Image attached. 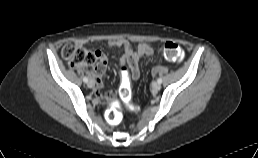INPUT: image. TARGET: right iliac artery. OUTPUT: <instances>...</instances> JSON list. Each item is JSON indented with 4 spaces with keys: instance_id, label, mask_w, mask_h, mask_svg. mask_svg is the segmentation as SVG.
Segmentation results:
<instances>
[{
    "instance_id": "right-iliac-artery-1",
    "label": "right iliac artery",
    "mask_w": 258,
    "mask_h": 158,
    "mask_svg": "<svg viewBox=\"0 0 258 158\" xmlns=\"http://www.w3.org/2000/svg\"><path fill=\"white\" fill-rule=\"evenodd\" d=\"M83 81H84L85 83H87V82H88V78H87V77H83Z\"/></svg>"
}]
</instances>
